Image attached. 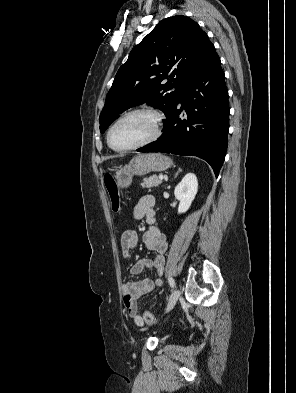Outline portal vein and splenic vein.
I'll use <instances>...</instances> for the list:
<instances>
[{
    "mask_svg": "<svg viewBox=\"0 0 296 393\" xmlns=\"http://www.w3.org/2000/svg\"><path fill=\"white\" fill-rule=\"evenodd\" d=\"M160 180H162V179H164V176L163 175H159V177H158Z\"/></svg>",
    "mask_w": 296,
    "mask_h": 393,
    "instance_id": "obj_1",
    "label": "portal vein and splenic vein"
}]
</instances>
